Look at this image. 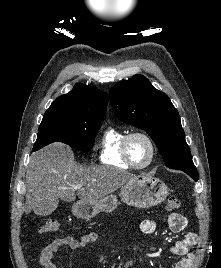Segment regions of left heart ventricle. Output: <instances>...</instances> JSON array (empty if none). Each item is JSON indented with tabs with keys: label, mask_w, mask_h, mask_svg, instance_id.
Listing matches in <instances>:
<instances>
[{
	"label": "left heart ventricle",
	"mask_w": 221,
	"mask_h": 268,
	"mask_svg": "<svg viewBox=\"0 0 221 268\" xmlns=\"http://www.w3.org/2000/svg\"><path fill=\"white\" fill-rule=\"evenodd\" d=\"M129 154L135 164H145L150 157V147L146 140L141 137H135L130 141Z\"/></svg>",
	"instance_id": "1"
}]
</instances>
